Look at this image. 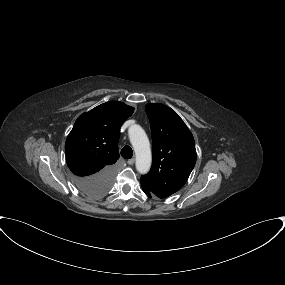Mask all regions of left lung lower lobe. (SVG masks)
<instances>
[{
    "mask_svg": "<svg viewBox=\"0 0 285 285\" xmlns=\"http://www.w3.org/2000/svg\"><path fill=\"white\" fill-rule=\"evenodd\" d=\"M142 185V189L144 191V193L148 196V197H151V195H153V193L143 184L141 183Z\"/></svg>",
    "mask_w": 285,
    "mask_h": 285,
    "instance_id": "0a47b994",
    "label": "left lung lower lobe"
}]
</instances>
